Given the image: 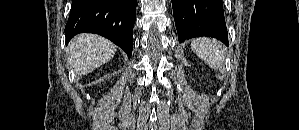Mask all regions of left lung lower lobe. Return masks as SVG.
I'll return each mask as SVG.
<instances>
[{"mask_svg":"<svg viewBox=\"0 0 299 130\" xmlns=\"http://www.w3.org/2000/svg\"><path fill=\"white\" fill-rule=\"evenodd\" d=\"M179 42L207 36L228 45L222 0H172Z\"/></svg>","mask_w":299,"mask_h":130,"instance_id":"obj_1","label":"left lung lower lobe"}]
</instances>
